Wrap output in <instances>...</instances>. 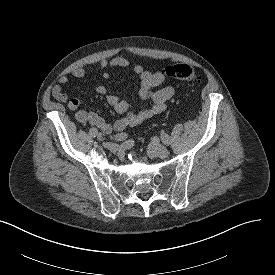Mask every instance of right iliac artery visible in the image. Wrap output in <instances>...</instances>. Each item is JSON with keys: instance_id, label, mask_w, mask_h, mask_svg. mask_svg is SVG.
Returning a JSON list of instances; mask_svg holds the SVG:
<instances>
[{"instance_id": "82829eb1", "label": "right iliac artery", "mask_w": 275, "mask_h": 275, "mask_svg": "<svg viewBox=\"0 0 275 275\" xmlns=\"http://www.w3.org/2000/svg\"><path fill=\"white\" fill-rule=\"evenodd\" d=\"M89 135L91 136V137H96L97 135H98V130L96 129V128H91L90 130H89ZM127 137V135L125 134V133H121V134H118L117 136H116V138L118 139V140H124L125 138Z\"/></svg>"}]
</instances>
